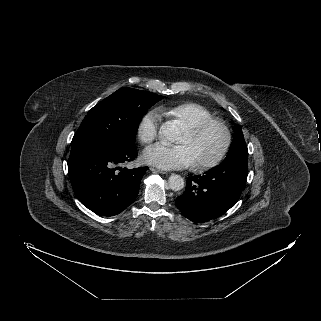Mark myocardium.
Instances as JSON below:
<instances>
[{
  "instance_id": "obj_1",
  "label": "myocardium",
  "mask_w": 321,
  "mask_h": 321,
  "mask_svg": "<svg viewBox=\"0 0 321 321\" xmlns=\"http://www.w3.org/2000/svg\"><path fill=\"white\" fill-rule=\"evenodd\" d=\"M213 125L218 126L222 130V133H223L222 144L218 152L212 158L208 160L194 162L192 166L196 170L208 169L218 165L224 159V157L226 156L230 148L232 135L228 124L224 120L219 118H214V117L202 120L191 126L186 127V131L191 136H198L209 126H213Z\"/></svg>"
}]
</instances>
